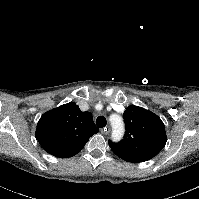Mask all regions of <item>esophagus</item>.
Returning <instances> with one entry per match:
<instances>
[{
	"label": "esophagus",
	"mask_w": 199,
	"mask_h": 199,
	"mask_svg": "<svg viewBox=\"0 0 199 199\" xmlns=\"http://www.w3.org/2000/svg\"><path fill=\"white\" fill-rule=\"evenodd\" d=\"M100 131H101V133L107 135L110 133V127L106 126V127L102 128Z\"/></svg>",
	"instance_id": "obj_1"
}]
</instances>
